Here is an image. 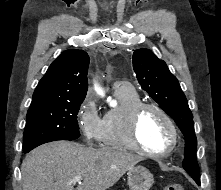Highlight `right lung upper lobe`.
Here are the masks:
<instances>
[{"label":"right lung upper lobe","instance_id":"cb5924a9","mask_svg":"<svg viewBox=\"0 0 221 190\" xmlns=\"http://www.w3.org/2000/svg\"><path fill=\"white\" fill-rule=\"evenodd\" d=\"M89 56L83 50L64 51L39 81L30 106L83 102L87 94Z\"/></svg>","mask_w":221,"mask_h":190}]
</instances>
